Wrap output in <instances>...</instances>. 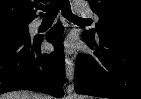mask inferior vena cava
<instances>
[{
	"mask_svg": "<svg viewBox=\"0 0 141 99\" xmlns=\"http://www.w3.org/2000/svg\"><path fill=\"white\" fill-rule=\"evenodd\" d=\"M38 97L39 99H49V97L44 94H38Z\"/></svg>",
	"mask_w": 141,
	"mask_h": 99,
	"instance_id": "obj_1",
	"label": "inferior vena cava"
}]
</instances>
